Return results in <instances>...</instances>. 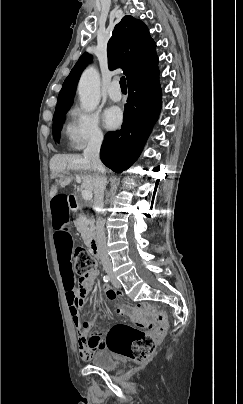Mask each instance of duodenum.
I'll return each instance as SVG.
<instances>
[{
	"label": "duodenum",
	"instance_id": "duodenum-1",
	"mask_svg": "<svg viewBox=\"0 0 243 404\" xmlns=\"http://www.w3.org/2000/svg\"><path fill=\"white\" fill-rule=\"evenodd\" d=\"M69 206H70V209H72V210H77L78 209V201H77V198L74 195H69ZM89 249H90V252L92 253V255L96 259L101 258L100 248H99V245H98L96 240H91L90 241Z\"/></svg>",
	"mask_w": 243,
	"mask_h": 404
}]
</instances>
